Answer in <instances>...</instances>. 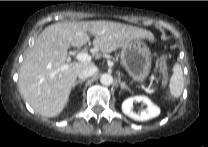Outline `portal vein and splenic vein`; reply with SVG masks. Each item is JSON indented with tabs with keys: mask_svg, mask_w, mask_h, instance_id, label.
<instances>
[{
	"mask_svg": "<svg viewBox=\"0 0 208 147\" xmlns=\"http://www.w3.org/2000/svg\"><path fill=\"white\" fill-rule=\"evenodd\" d=\"M76 58H77L78 61L89 62V61H91L92 56L89 55V54H87V53H84V52H79V53L76 55ZM62 68H65V66H63ZM144 90H145L146 92H151V90L148 89V88H144Z\"/></svg>",
	"mask_w": 208,
	"mask_h": 147,
	"instance_id": "18ae733b",
	"label": "portal vein and splenic vein"
}]
</instances>
